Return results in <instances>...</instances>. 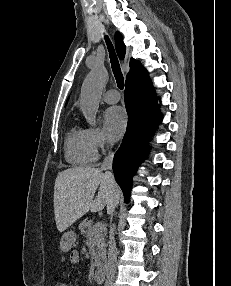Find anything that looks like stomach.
<instances>
[{
	"instance_id": "obj_1",
	"label": "stomach",
	"mask_w": 231,
	"mask_h": 286,
	"mask_svg": "<svg viewBox=\"0 0 231 286\" xmlns=\"http://www.w3.org/2000/svg\"><path fill=\"white\" fill-rule=\"evenodd\" d=\"M76 241V234L73 231L64 233L60 241V249L62 252H68Z\"/></svg>"
}]
</instances>
